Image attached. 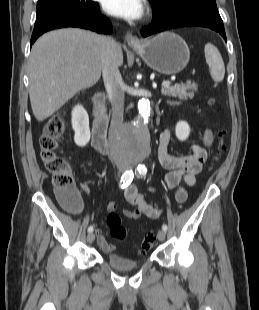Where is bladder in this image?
Segmentation results:
<instances>
[{
    "mask_svg": "<svg viewBox=\"0 0 259 310\" xmlns=\"http://www.w3.org/2000/svg\"><path fill=\"white\" fill-rule=\"evenodd\" d=\"M106 261L111 267L120 270L134 269L140 265L139 261L128 259L117 253H109Z\"/></svg>",
    "mask_w": 259,
    "mask_h": 310,
    "instance_id": "bladder-1",
    "label": "bladder"
}]
</instances>
